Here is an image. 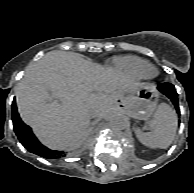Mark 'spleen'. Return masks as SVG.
<instances>
[{
  "instance_id": "obj_1",
  "label": "spleen",
  "mask_w": 194,
  "mask_h": 193,
  "mask_svg": "<svg viewBox=\"0 0 194 193\" xmlns=\"http://www.w3.org/2000/svg\"><path fill=\"white\" fill-rule=\"evenodd\" d=\"M150 132L136 129L138 140L150 148L166 149L173 141L176 134L177 117L167 104H160L151 119Z\"/></svg>"
}]
</instances>
